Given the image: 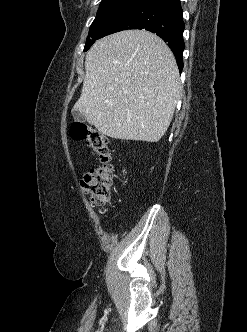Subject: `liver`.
Listing matches in <instances>:
<instances>
[{
    "mask_svg": "<svg viewBox=\"0 0 247 332\" xmlns=\"http://www.w3.org/2000/svg\"><path fill=\"white\" fill-rule=\"evenodd\" d=\"M81 96L74 105L91 125L121 140L157 142L180 97L173 53L157 35L127 30L106 36L88 51Z\"/></svg>",
    "mask_w": 247,
    "mask_h": 332,
    "instance_id": "1",
    "label": "liver"
}]
</instances>
